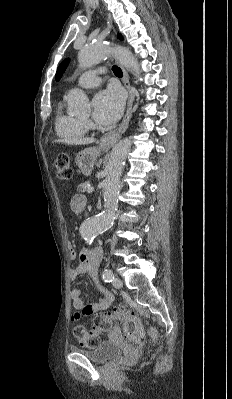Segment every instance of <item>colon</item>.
<instances>
[{
    "mask_svg": "<svg viewBox=\"0 0 232 399\" xmlns=\"http://www.w3.org/2000/svg\"><path fill=\"white\" fill-rule=\"evenodd\" d=\"M52 165L55 168H61V174H59V179H72L73 178V161L70 160V154L56 155V160H52ZM119 314L124 315L122 318V327L125 328V336L130 337V340L124 341V346L121 347L122 353H142L143 351V341L145 340L144 326L141 317H137V313H126L125 308L119 309ZM75 322H78L80 315L75 313L73 315ZM105 320L111 319L110 313L104 314ZM104 319L102 317H95L94 323L97 325V330H106L107 325H105ZM152 326V323H149ZM75 337L78 338L79 347H98L99 336H95V330L92 327H87L86 330L83 329V325L74 326Z\"/></svg>",
    "mask_w": 232,
    "mask_h": 399,
    "instance_id": "1",
    "label": "colon"
}]
</instances>
